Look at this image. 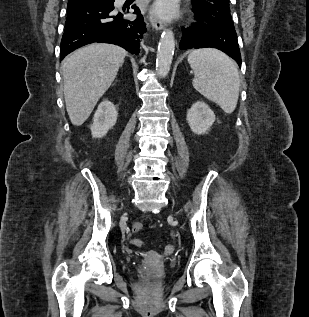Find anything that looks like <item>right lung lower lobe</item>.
I'll list each match as a JSON object with an SVG mask.
<instances>
[{
    "mask_svg": "<svg viewBox=\"0 0 309 317\" xmlns=\"http://www.w3.org/2000/svg\"><path fill=\"white\" fill-rule=\"evenodd\" d=\"M114 1L69 0L60 60L94 42L113 43L131 53H139V42L146 30L140 10L136 5L131 6L137 18H127L129 7L117 9Z\"/></svg>",
    "mask_w": 309,
    "mask_h": 317,
    "instance_id": "1",
    "label": "right lung lower lobe"
}]
</instances>
